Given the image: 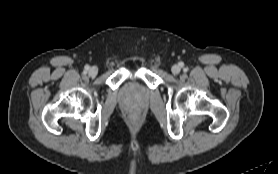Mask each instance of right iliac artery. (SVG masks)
<instances>
[{
    "label": "right iliac artery",
    "instance_id": "right-iliac-artery-1",
    "mask_svg": "<svg viewBox=\"0 0 278 174\" xmlns=\"http://www.w3.org/2000/svg\"><path fill=\"white\" fill-rule=\"evenodd\" d=\"M84 68H85V71L87 72L90 67L88 65H86Z\"/></svg>",
    "mask_w": 278,
    "mask_h": 174
}]
</instances>
